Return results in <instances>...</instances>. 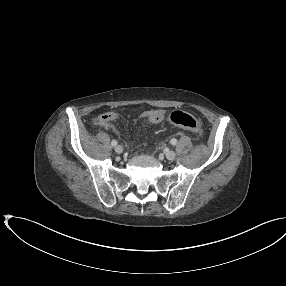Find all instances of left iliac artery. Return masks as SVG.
I'll use <instances>...</instances> for the list:
<instances>
[{
  "label": "left iliac artery",
  "instance_id": "obj_1",
  "mask_svg": "<svg viewBox=\"0 0 286 286\" xmlns=\"http://www.w3.org/2000/svg\"><path fill=\"white\" fill-rule=\"evenodd\" d=\"M170 143H171L172 145H176L177 140L173 138V139H171Z\"/></svg>",
  "mask_w": 286,
  "mask_h": 286
}]
</instances>
